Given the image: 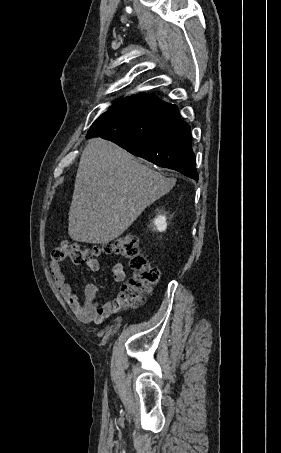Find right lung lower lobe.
<instances>
[{
	"label": "right lung lower lobe",
	"mask_w": 281,
	"mask_h": 453,
	"mask_svg": "<svg viewBox=\"0 0 281 453\" xmlns=\"http://www.w3.org/2000/svg\"><path fill=\"white\" fill-rule=\"evenodd\" d=\"M86 137L110 140L135 156L198 180L190 126L175 105L155 95L145 93L112 105Z\"/></svg>",
	"instance_id": "obj_1"
}]
</instances>
